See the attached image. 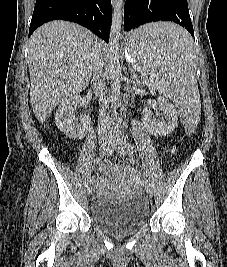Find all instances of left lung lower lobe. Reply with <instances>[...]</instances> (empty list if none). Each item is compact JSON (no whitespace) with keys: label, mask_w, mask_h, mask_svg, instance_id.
<instances>
[{"label":"left lung lower lobe","mask_w":227,"mask_h":267,"mask_svg":"<svg viewBox=\"0 0 227 267\" xmlns=\"http://www.w3.org/2000/svg\"><path fill=\"white\" fill-rule=\"evenodd\" d=\"M171 21L184 27L194 36L187 0H126L124 8V30L130 31L145 23ZM142 43L139 39L138 45ZM166 47H179L178 39H160Z\"/></svg>","instance_id":"left-lung-lower-lobe-1"}]
</instances>
